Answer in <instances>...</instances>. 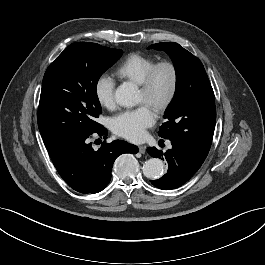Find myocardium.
Listing matches in <instances>:
<instances>
[{
	"label": "myocardium",
	"mask_w": 265,
	"mask_h": 265,
	"mask_svg": "<svg viewBox=\"0 0 265 265\" xmlns=\"http://www.w3.org/2000/svg\"><path fill=\"white\" fill-rule=\"evenodd\" d=\"M162 68H167L171 74V83L167 94L159 101L152 102V108L157 113L165 112L173 103L179 87V71L176 64L169 60H163L155 63L146 73L140 84L141 92L148 100L152 99L156 74Z\"/></svg>",
	"instance_id": "f54148a6"
}]
</instances>
